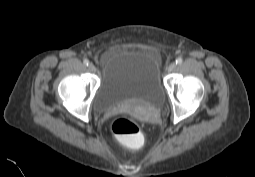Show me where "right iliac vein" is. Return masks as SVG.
Returning <instances> with one entry per match:
<instances>
[{"instance_id": "1", "label": "right iliac vein", "mask_w": 255, "mask_h": 177, "mask_svg": "<svg viewBox=\"0 0 255 177\" xmlns=\"http://www.w3.org/2000/svg\"><path fill=\"white\" fill-rule=\"evenodd\" d=\"M88 69H89L90 72H96V67L93 64H89Z\"/></svg>"}]
</instances>
